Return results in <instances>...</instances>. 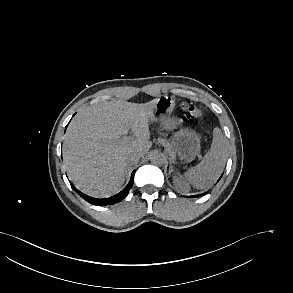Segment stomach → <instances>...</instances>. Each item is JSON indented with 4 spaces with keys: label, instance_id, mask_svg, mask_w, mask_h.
<instances>
[{
    "label": "stomach",
    "instance_id": "obj_1",
    "mask_svg": "<svg viewBox=\"0 0 293 293\" xmlns=\"http://www.w3.org/2000/svg\"><path fill=\"white\" fill-rule=\"evenodd\" d=\"M175 102L171 97L158 99L150 122H159L161 127L167 130L176 129L179 125L178 119L172 116ZM201 137L191 128H181L177 131L171 142V150L179 159L185 163L191 162L200 152Z\"/></svg>",
    "mask_w": 293,
    "mask_h": 293
}]
</instances>
